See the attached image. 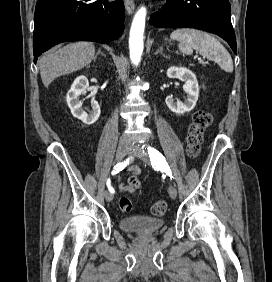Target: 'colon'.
<instances>
[{
  "label": "colon",
  "mask_w": 272,
  "mask_h": 282,
  "mask_svg": "<svg viewBox=\"0 0 272 282\" xmlns=\"http://www.w3.org/2000/svg\"><path fill=\"white\" fill-rule=\"evenodd\" d=\"M212 122V115L207 111H198L194 114L192 122L189 125L186 144L187 154L190 158H197L201 151V145L206 129ZM136 178H129L128 183L131 185L136 184ZM120 209L129 213L132 210V202L127 197H122L119 200ZM167 210V203L163 200L155 201L151 206V213L153 216H162Z\"/></svg>",
  "instance_id": "5ec220e1"
}]
</instances>
